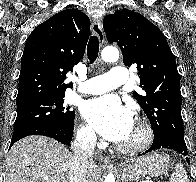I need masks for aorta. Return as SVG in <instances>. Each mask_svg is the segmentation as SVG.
I'll return each mask as SVG.
<instances>
[{
  "label": "aorta",
  "mask_w": 196,
  "mask_h": 182,
  "mask_svg": "<svg viewBox=\"0 0 196 182\" xmlns=\"http://www.w3.org/2000/svg\"><path fill=\"white\" fill-rule=\"evenodd\" d=\"M101 58L105 62H114L117 61L119 58V51L117 48L114 47H106L101 52ZM104 182H115V177L112 173H109L106 177Z\"/></svg>",
  "instance_id": "obj_1"
}]
</instances>
